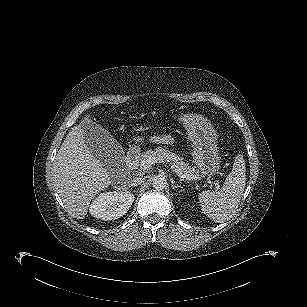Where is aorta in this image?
I'll list each match as a JSON object with an SVG mask.
<instances>
[{"instance_id": "obj_1", "label": "aorta", "mask_w": 307, "mask_h": 307, "mask_svg": "<svg viewBox=\"0 0 307 307\" xmlns=\"http://www.w3.org/2000/svg\"><path fill=\"white\" fill-rule=\"evenodd\" d=\"M167 185L166 179L161 176H156L152 179V186L156 190H163Z\"/></svg>"}]
</instances>
